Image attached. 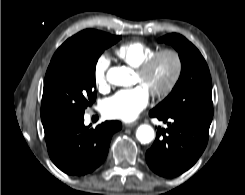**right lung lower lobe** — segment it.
I'll return each mask as SVG.
<instances>
[{"instance_id": "1", "label": "right lung lower lobe", "mask_w": 245, "mask_h": 195, "mask_svg": "<svg viewBox=\"0 0 245 195\" xmlns=\"http://www.w3.org/2000/svg\"><path fill=\"white\" fill-rule=\"evenodd\" d=\"M119 121H106L95 129L84 125V116L44 128L49 156L64 173L81 176L94 171L105 160Z\"/></svg>"}]
</instances>
